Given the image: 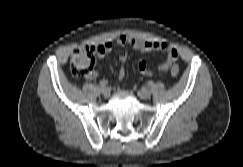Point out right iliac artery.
<instances>
[{
	"instance_id": "82829eb1",
	"label": "right iliac artery",
	"mask_w": 243,
	"mask_h": 167,
	"mask_svg": "<svg viewBox=\"0 0 243 167\" xmlns=\"http://www.w3.org/2000/svg\"><path fill=\"white\" fill-rule=\"evenodd\" d=\"M108 84L107 80H101L100 81V86L105 87Z\"/></svg>"
}]
</instances>
